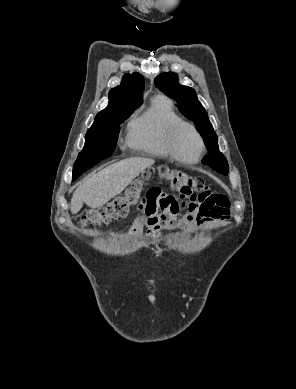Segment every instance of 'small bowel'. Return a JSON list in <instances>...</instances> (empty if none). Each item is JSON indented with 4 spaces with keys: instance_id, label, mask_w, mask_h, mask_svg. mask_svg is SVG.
I'll return each mask as SVG.
<instances>
[{
    "instance_id": "1",
    "label": "small bowel",
    "mask_w": 296,
    "mask_h": 389,
    "mask_svg": "<svg viewBox=\"0 0 296 389\" xmlns=\"http://www.w3.org/2000/svg\"><path fill=\"white\" fill-rule=\"evenodd\" d=\"M229 217L230 202L221 194L209 191L189 197H177L153 188L138 205L132 228L137 230L147 225L151 235L161 229L190 233Z\"/></svg>"
}]
</instances>
